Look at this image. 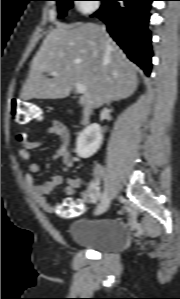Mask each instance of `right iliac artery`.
Listing matches in <instances>:
<instances>
[{"label": "right iliac artery", "mask_w": 180, "mask_h": 299, "mask_svg": "<svg viewBox=\"0 0 180 299\" xmlns=\"http://www.w3.org/2000/svg\"><path fill=\"white\" fill-rule=\"evenodd\" d=\"M106 197H107V194H106V192L104 191V192L102 193V195H101L100 201H101V202L104 201V200L106 199Z\"/></svg>", "instance_id": "1"}]
</instances>
